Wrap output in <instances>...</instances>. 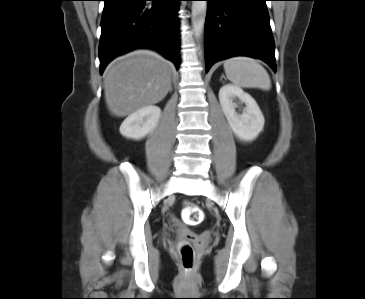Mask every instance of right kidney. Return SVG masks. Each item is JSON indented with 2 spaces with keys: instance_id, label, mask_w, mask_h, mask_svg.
Instances as JSON below:
<instances>
[{
  "instance_id": "obj_1",
  "label": "right kidney",
  "mask_w": 365,
  "mask_h": 299,
  "mask_svg": "<svg viewBox=\"0 0 365 299\" xmlns=\"http://www.w3.org/2000/svg\"><path fill=\"white\" fill-rule=\"evenodd\" d=\"M161 117V109L154 105L130 114L121 124L120 133L126 138L139 140L151 133Z\"/></svg>"
}]
</instances>
